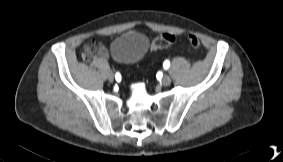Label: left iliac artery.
<instances>
[{
	"label": "left iliac artery",
	"mask_w": 283,
	"mask_h": 162,
	"mask_svg": "<svg viewBox=\"0 0 283 162\" xmlns=\"http://www.w3.org/2000/svg\"><path fill=\"white\" fill-rule=\"evenodd\" d=\"M163 66L165 69H168L169 66H170V62L168 60H166L164 63H163Z\"/></svg>",
	"instance_id": "obj_1"
}]
</instances>
